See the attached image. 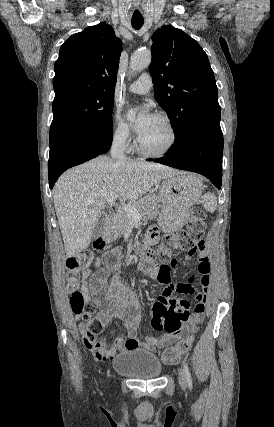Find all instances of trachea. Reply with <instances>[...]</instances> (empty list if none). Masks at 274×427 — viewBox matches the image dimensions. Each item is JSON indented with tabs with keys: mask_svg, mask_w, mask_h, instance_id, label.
I'll list each match as a JSON object with an SVG mask.
<instances>
[{
	"mask_svg": "<svg viewBox=\"0 0 274 427\" xmlns=\"http://www.w3.org/2000/svg\"><path fill=\"white\" fill-rule=\"evenodd\" d=\"M144 23L143 18H134L131 20L132 27L135 28V30H139Z\"/></svg>",
	"mask_w": 274,
	"mask_h": 427,
	"instance_id": "1",
	"label": "trachea"
}]
</instances>
